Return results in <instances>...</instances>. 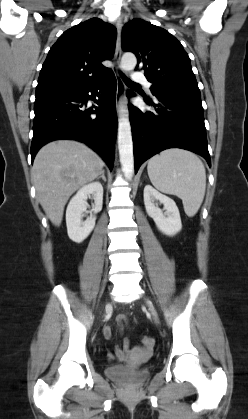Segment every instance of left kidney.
Returning a JSON list of instances; mask_svg holds the SVG:
<instances>
[{
    "label": "left kidney",
    "instance_id": "5707ae66",
    "mask_svg": "<svg viewBox=\"0 0 248 419\" xmlns=\"http://www.w3.org/2000/svg\"><path fill=\"white\" fill-rule=\"evenodd\" d=\"M159 201L164 205L163 211L156 205ZM144 204L147 214L154 220L157 228L168 236H174L182 229L180 213L174 200L161 194L151 185L144 188Z\"/></svg>",
    "mask_w": 248,
    "mask_h": 419
}]
</instances>
